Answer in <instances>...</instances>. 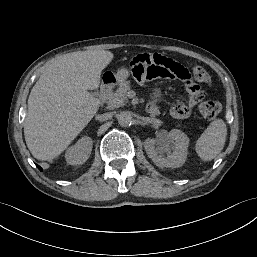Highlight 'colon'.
Returning <instances> with one entry per match:
<instances>
[{"label":"colon","mask_w":257,"mask_h":257,"mask_svg":"<svg viewBox=\"0 0 257 257\" xmlns=\"http://www.w3.org/2000/svg\"><path fill=\"white\" fill-rule=\"evenodd\" d=\"M191 68H193L197 72V80H196L197 82H200L203 84H210V75L203 67L195 65V66H191ZM198 109L200 114L203 116V118H205L207 121H211L219 113L220 105L215 101L206 100V101H202L199 104Z\"/></svg>","instance_id":"colon-1"}]
</instances>
